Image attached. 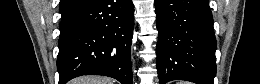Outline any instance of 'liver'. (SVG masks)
Wrapping results in <instances>:
<instances>
[{"mask_svg": "<svg viewBox=\"0 0 260 84\" xmlns=\"http://www.w3.org/2000/svg\"><path fill=\"white\" fill-rule=\"evenodd\" d=\"M73 84H114V80L102 76H83L74 79Z\"/></svg>", "mask_w": 260, "mask_h": 84, "instance_id": "6515ba94", "label": "liver"}]
</instances>
